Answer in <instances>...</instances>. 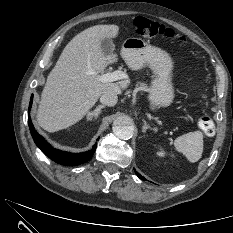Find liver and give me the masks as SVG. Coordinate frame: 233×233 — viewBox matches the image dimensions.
I'll return each instance as SVG.
<instances>
[{
	"label": "liver",
	"mask_w": 233,
	"mask_h": 233,
	"mask_svg": "<svg viewBox=\"0 0 233 233\" xmlns=\"http://www.w3.org/2000/svg\"><path fill=\"white\" fill-rule=\"evenodd\" d=\"M117 25H95L77 34L64 48L47 77L37 112L40 127L48 132L65 129L79 120L107 91L121 94L129 83L101 82L98 76L117 62L115 53L104 54L101 42L116 38ZM88 71L94 74L88 75Z\"/></svg>",
	"instance_id": "6515ba94"
}]
</instances>
